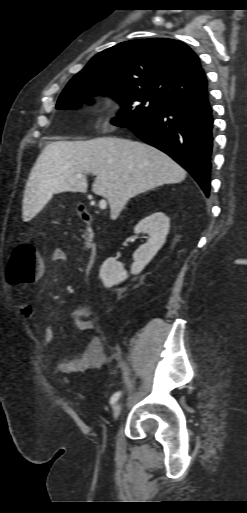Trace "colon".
Returning a JSON list of instances; mask_svg holds the SVG:
<instances>
[{
    "mask_svg": "<svg viewBox=\"0 0 247 513\" xmlns=\"http://www.w3.org/2000/svg\"><path fill=\"white\" fill-rule=\"evenodd\" d=\"M43 267L32 244H18L11 252L7 268L6 279L11 285L33 284Z\"/></svg>",
    "mask_w": 247,
    "mask_h": 513,
    "instance_id": "obj_1",
    "label": "colon"
}]
</instances>
